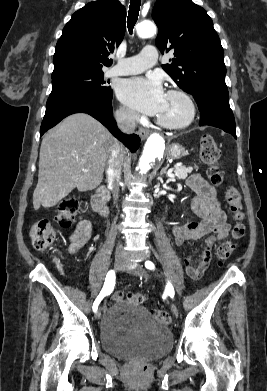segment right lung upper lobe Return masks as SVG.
Returning a JSON list of instances; mask_svg holds the SVG:
<instances>
[{"mask_svg":"<svg viewBox=\"0 0 267 391\" xmlns=\"http://www.w3.org/2000/svg\"><path fill=\"white\" fill-rule=\"evenodd\" d=\"M125 21L126 10L118 0L90 2L76 11L56 44L52 76L110 66L107 56L122 41Z\"/></svg>","mask_w":267,"mask_h":391,"instance_id":"obj_1","label":"right lung upper lobe"}]
</instances>
